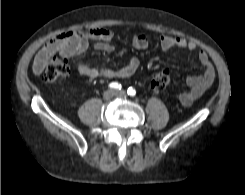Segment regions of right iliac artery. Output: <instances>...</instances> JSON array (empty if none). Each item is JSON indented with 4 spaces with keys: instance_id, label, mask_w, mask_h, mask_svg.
I'll return each instance as SVG.
<instances>
[{
    "instance_id": "82829eb1",
    "label": "right iliac artery",
    "mask_w": 245,
    "mask_h": 195,
    "mask_svg": "<svg viewBox=\"0 0 245 195\" xmlns=\"http://www.w3.org/2000/svg\"><path fill=\"white\" fill-rule=\"evenodd\" d=\"M109 87L120 90L122 88V85L117 82H112L111 84H109Z\"/></svg>"
}]
</instances>
